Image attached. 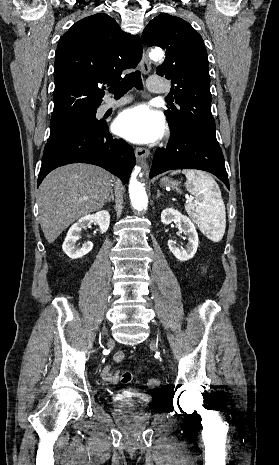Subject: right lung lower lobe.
<instances>
[{"mask_svg":"<svg viewBox=\"0 0 279 465\" xmlns=\"http://www.w3.org/2000/svg\"><path fill=\"white\" fill-rule=\"evenodd\" d=\"M70 163L98 165L127 183L136 163L133 148L122 139L113 138L107 123L80 132L43 154L38 185L53 169Z\"/></svg>","mask_w":279,"mask_h":465,"instance_id":"obj_1","label":"right lung lower lobe"}]
</instances>
